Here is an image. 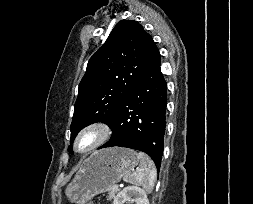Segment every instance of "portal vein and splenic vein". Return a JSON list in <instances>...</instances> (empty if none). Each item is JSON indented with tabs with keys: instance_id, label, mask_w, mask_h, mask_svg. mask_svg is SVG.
<instances>
[{
	"instance_id": "18ae733b",
	"label": "portal vein and splenic vein",
	"mask_w": 253,
	"mask_h": 204,
	"mask_svg": "<svg viewBox=\"0 0 253 204\" xmlns=\"http://www.w3.org/2000/svg\"><path fill=\"white\" fill-rule=\"evenodd\" d=\"M114 188H118V185H117V184H115V185H114Z\"/></svg>"
}]
</instances>
